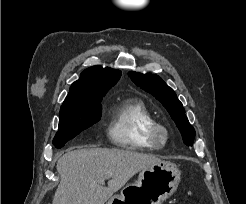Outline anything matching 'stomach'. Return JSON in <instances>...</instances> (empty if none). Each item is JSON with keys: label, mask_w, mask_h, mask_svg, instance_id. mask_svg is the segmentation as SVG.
I'll return each mask as SVG.
<instances>
[{"label": "stomach", "mask_w": 246, "mask_h": 204, "mask_svg": "<svg viewBox=\"0 0 246 204\" xmlns=\"http://www.w3.org/2000/svg\"><path fill=\"white\" fill-rule=\"evenodd\" d=\"M181 172L171 162L141 170L136 182L125 186L107 204H162L177 189Z\"/></svg>", "instance_id": "stomach-1"}]
</instances>
